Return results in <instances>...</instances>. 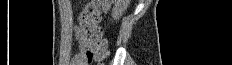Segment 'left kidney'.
<instances>
[{
  "instance_id": "obj_1",
  "label": "left kidney",
  "mask_w": 232,
  "mask_h": 65,
  "mask_svg": "<svg viewBox=\"0 0 232 65\" xmlns=\"http://www.w3.org/2000/svg\"><path fill=\"white\" fill-rule=\"evenodd\" d=\"M128 4H129V0H117L112 9V17L115 20H118L127 9Z\"/></svg>"
}]
</instances>
